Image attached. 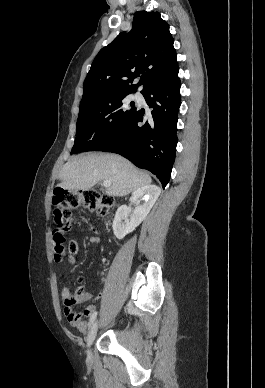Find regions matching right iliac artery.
I'll list each match as a JSON object with an SVG mask.
<instances>
[{"instance_id": "right-iliac-artery-1", "label": "right iliac artery", "mask_w": 265, "mask_h": 388, "mask_svg": "<svg viewBox=\"0 0 265 388\" xmlns=\"http://www.w3.org/2000/svg\"><path fill=\"white\" fill-rule=\"evenodd\" d=\"M96 316H97V312L95 311L92 315H91V317H90V319H89V327L94 323V321H95V319H96Z\"/></svg>"}]
</instances>
